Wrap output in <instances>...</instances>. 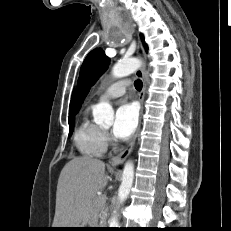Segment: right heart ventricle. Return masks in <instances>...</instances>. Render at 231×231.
I'll use <instances>...</instances> for the list:
<instances>
[{"label":"right heart ventricle","mask_w":231,"mask_h":231,"mask_svg":"<svg viewBox=\"0 0 231 231\" xmlns=\"http://www.w3.org/2000/svg\"><path fill=\"white\" fill-rule=\"evenodd\" d=\"M74 144L85 157H100L107 148L103 130L95 124L86 112L74 133Z\"/></svg>","instance_id":"e07e8e85"}]
</instances>
